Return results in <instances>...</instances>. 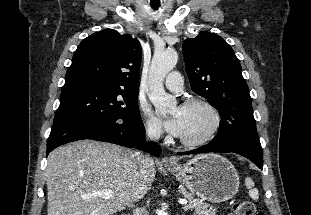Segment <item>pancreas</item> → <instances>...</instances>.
Wrapping results in <instances>:
<instances>
[{
    "label": "pancreas",
    "mask_w": 311,
    "mask_h": 215,
    "mask_svg": "<svg viewBox=\"0 0 311 215\" xmlns=\"http://www.w3.org/2000/svg\"><path fill=\"white\" fill-rule=\"evenodd\" d=\"M181 193L184 198L189 201L188 209L194 211V215H215L217 209L205 202L194 198V195L189 193L185 188H181Z\"/></svg>",
    "instance_id": "cf45deb5"
}]
</instances>
